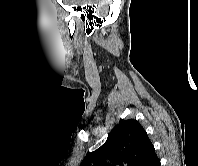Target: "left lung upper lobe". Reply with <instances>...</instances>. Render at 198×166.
I'll use <instances>...</instances> for the list:
<instances>
[{
    "label": "left lung upper lobe",
    "mask_w": 198,
    "mask_h": 166,
    "mask_svg": "<svg viewBox=\"0 0 198 166\" xmlns=\"http://www.w3.org/2000/svg\"><path fill=\"white\" fill-rule=\"evenodd\" d=\"M155 154L144 128L129 119L115 126L106 142L89 153L80 166H147ZM106 158L112 160V165H104Z\"/></svg>",
    "instance_id": "1"
}]
</instances>
